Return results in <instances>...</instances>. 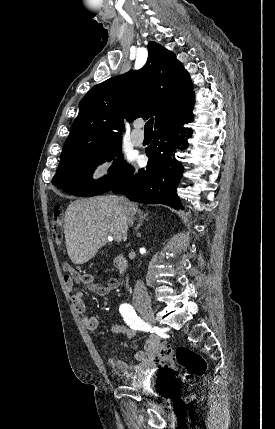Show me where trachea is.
Segmentation results:
<instances>
[{
	"mask_svg": "<svg viewBox=\"0 0 275 429\" xmlns=\"http://www.w3.org/2000/svg\"><path fill=\"white\" fill-rule=\"evenodd\" d=\"M153 123H154L153 118H151L150 120H148L146 122L145 127H144L145 133H152L153 132Z\"/></svg>",
	"mask_w": 275,
	"mask_h": 429,
	"instance_id": "trachea-1",
	"label": "trachea"
}]
</instances>
